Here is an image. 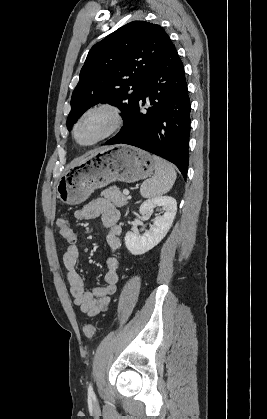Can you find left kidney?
<instances>
[{
  "instance_id": "5707ae66",
  "label": "left kidney",
  "mask_w": 267,
  "mask_h": 419,
  "mask_svg": "<svg viewBox=\"0 0 267 419\" xmlns=\"http://www.w3.org/2000/svg\"><path fill=\"white\" fill-rule=\"evenodd\" d=\"M155 207L161 208L162 215H157L149 231L143 235L128 231L125 235V245L133 255H141L154 248L166 236L172 226L177 212V202L170 196H159L144 201L140 208V214L144 215Z\"/></svg>"
}]
</instances>
